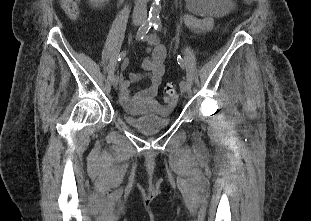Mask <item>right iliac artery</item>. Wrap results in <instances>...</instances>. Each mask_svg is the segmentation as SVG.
Returning a JSON list of instances; mask_svg holds the SVG:
<instances>
[{
    "mask_svg": "<svg viewBox=\"0 0 311 221\" xmlns=\"http://www.w3.org/2000/svg\"><path fill=\"white\" fill-rule=\"evenodd\" d=\"M154 20L152 19H148L147 21H145V23H143L138 31H137V35H136V39L137 40H141L145 37V35L148 33V31L150 30V28L153 26ZM126 56V51H122L119 56H118V61H122Z\"/></svg>",
    "mask_w": 311,
    "mask_h": 221,
    "instance_id": "1",
    "label": "right iliac artery"
}]
</instances>
